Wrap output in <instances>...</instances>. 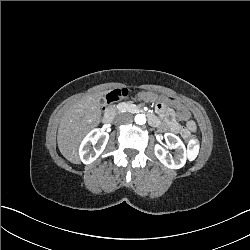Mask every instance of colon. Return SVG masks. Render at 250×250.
Here are the masks:
<instances>
[{
  "label": "colon",
  "instance_id": "1",
  "mask_svg": "<svg viewBox=\"0 0 250 250\" xmlns=\"http://www.w3.org/2000/svg\"><path fill=\"white\" fill-rule=\"evenodd\" d=\"M128 96V89L126 88H118L111 92H109L106 96L107 103H114L118 100L124 99ZM191 130H193V127H190ZM195 142L194 136H185L184 137V143L190 144Z\"/></svg>",
  "mask_w": 250,
  "mask_h": 250
}]
</instances>
